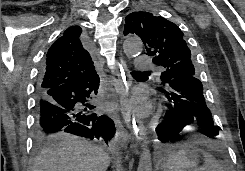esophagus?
<instances>
[{
  "label": "esophagus",
  "mask_w": 245,
  "mask_h": 171,
  "mask_svg": "<svg viewBox=\"0 0 245 171\" xmlns=\"http://www.w3.org/2000/svg\"><path fill=\"white\" fill-rule=\"evenodd\" d=\"M120 76L117 81V90L119 93L121 113L128 129L137 139H143L146 136V129L143 123L137 117L125 109L124 104L128 98L129 90L132 85V80L129 75V70L126 63L121 60Z\"/></svg>",
  "instance_id": "obj_1"
}]
</instances>
